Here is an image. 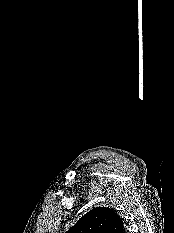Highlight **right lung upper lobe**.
I'll use <instances>...</instances> for the list:
<instances>
[{
  "instance_id": "right-lung-upper-lobe-1",
  "label": "right lung upper lobe",
  "mask_w": 174,
  "mask_h": 233,
  "mask_svg": "<svg viewBox=\"0 0 174 233\" xmlns=\"http://www.w3.org/2000/svg\"><path fill=\"white\" fill-rule=\"evenodd\" d=\"M66 233H125L122 218L112 209L96 207L82 216Z\"/></svg>"
}]
</instances>
